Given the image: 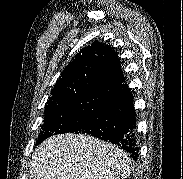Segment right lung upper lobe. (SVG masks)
Segmentation results:
<instances>
[{
  "mask_svg": "<svg viewBox=\"0 0 183 179\" xmlns=\"http://www.w3.org/2000/svg\"><path fill=\"white\" fill-rule=\"evenodd\" d=\"M123 81L117 52L104 43L94 41L82 48L66 66L46 106L90 95L105 96Z\"/></svg>",
  "mask_w": 183,
  "mask_h": 179,
  "instance_id": "cb5924a9",
  "label": "right lung upper lobe"
}]
</instances>
